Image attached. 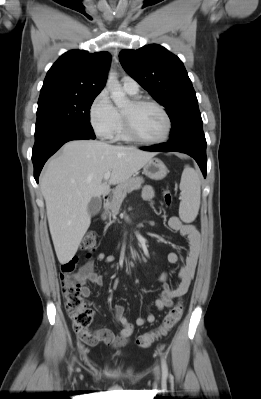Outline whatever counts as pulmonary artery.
Returning <instances> with one entry per match:
<instances>
[{"instance_id":"obj_1","label":"pulmonary artery","mask_w":261,"mask_h":399,"mask_svg":"<svg viewBox=\"0 0 261 399\" xmlns=\"http://www.w3.org/2000/svg\"><path fill=\"white\" fill-rule=\"evenodd\" d=\"M123 89L129 94H136L139 90V85L136 80L130 76H124L121 80Z\"/></svg>"}]
</instances>
